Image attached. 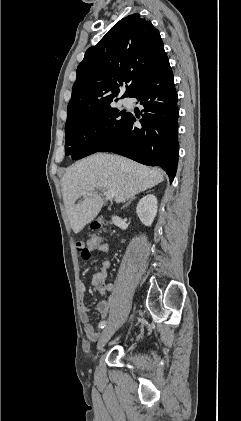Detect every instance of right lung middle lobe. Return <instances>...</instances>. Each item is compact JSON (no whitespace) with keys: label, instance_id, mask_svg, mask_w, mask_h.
Wrapping results in <instances>:
<instances>
[{"label":"right lung middle lobe","instance_id":"obj_1","mask_svg":"<svg viewBox=\"0 0 241 421\" xmlns=\"http://www.w3.org/2000/svg\"><path fill=\"white\" fill-rule=\"evenodd\" d=\"M130 113L107 107L65 126V154L81 159L111 143L126 126Z\"/></svg>","mask_w":241,"mask_h":421}]
</instances>
